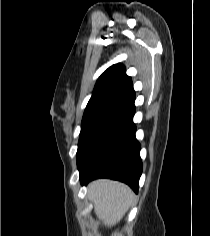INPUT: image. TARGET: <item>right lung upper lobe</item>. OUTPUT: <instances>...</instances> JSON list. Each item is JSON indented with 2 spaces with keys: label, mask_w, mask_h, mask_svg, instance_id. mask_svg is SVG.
<instances>
[{
  "label": "right lung upper lobe",
  "mask_w": 210,
  "mask_h": 236,
  "mask_svg": "<svg viewBox=\"0 0 210 236\" xmlns=\"http://www.w3.org/2000/svg\"><path fill=\"white\" fill-rule=\"evenodd\" d=\"M119 91L134 93L131 78L121 63L112 65L99 77L89 102L108 98Z\"/></svg>",
  "instance_id": "obj_1"
}]
</instances>
